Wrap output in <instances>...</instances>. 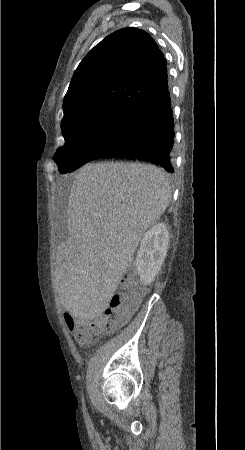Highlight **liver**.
I'll list each match as a JSON object with an SVG mask.
<instances>
[{"label":"liver","instance_id":"obj_1","mask_svg":"<svg viewBox=\"0 0 245 450\" xmlns=\"http://www.w3.org/2000/svg\"><path fill=\"white\" fill-rule=\"evenodd\" d=\"M166 174L142 163L84 165L72 183L70 238L56 253V285L73 316L94 318L107 309L141 237L171 199Z\"/></svg>","mask_w":245,"mask_h":450}]
</instances>
